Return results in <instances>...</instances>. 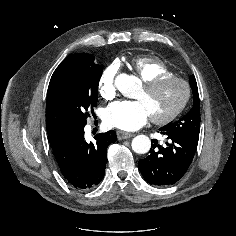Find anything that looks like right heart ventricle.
<instances>
[{
	"instance_id": "e07e8e85",
	"label": "right heart ventricle",
	"mask_w": 236,
	"mask_h": 236,
	"mask_svg": "<svg viewBox=\"0 0 236 236\" xmlns=\"http://www.w3.org/2000/svg\"><path fill=\"white\" fill-rule=\"evenodd\" d=\"M132 68L144 83L160 76L174 75V72L161 59L152 56H141L134 59Z\"/></svg>"
}]
</instances>
